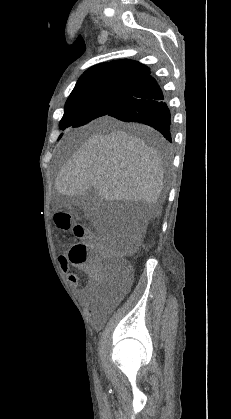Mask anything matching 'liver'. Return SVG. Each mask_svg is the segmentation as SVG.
Segmentation results:
<instances>
[{"instance_id": "liver-1", "label": "liver", "mask_w": 231, "mask_h": 419, "mask_svg": "<svg viewBox=\"0 0 231 419\" xmlns=\"http://www.w3.org/2000/svg\"><path fill=\"white\" fill-rule=\"evenodd\" d=\"M109 124L108 134H93L61 168L55 186L64 196H82L94 188L106 201H142L152 208L146 222L159 213L158 203L163 189V165L157 152L137 137L123 130L111 118L100 119ZM139 230L134 235L140 244Z\"/></svg>"}]
</instances>
